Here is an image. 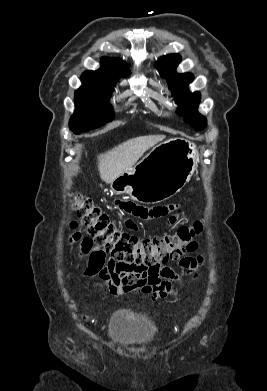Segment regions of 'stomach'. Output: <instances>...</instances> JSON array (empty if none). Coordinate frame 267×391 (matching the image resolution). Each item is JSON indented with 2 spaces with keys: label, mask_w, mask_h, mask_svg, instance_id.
<instances>
[{
  "label": "stomach",
  "mask_w": 267,
  "mask_h": 391,
  "mask_svg": "<svg viewBox=\"0 0 267 391\" xmlns=\"http://www.w3.org/2000/svg\"><path fill=\"white\" fill-rule=\"evenodd\" d=\"M197 166L196 146L183 138H171L152 149L134 168L111 183L116 194H128L144 204L160 203L176 195Z\"/></svg>",
  "instance_id": "stomach-1"
}]
</instances>
